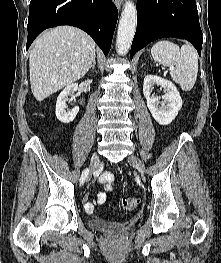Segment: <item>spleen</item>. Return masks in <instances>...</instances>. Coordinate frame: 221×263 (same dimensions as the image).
<instances>
[{
    "mask_svg": "<svg viewBox=\"0 0 221 263\" xmlns=\"http://www.w3.org/2000/svg\"><path fill=\"white\" fill-rule=\"evenodd\" d=\"M155 61L169 67L170 75L182 90L190 91L196 82L198 73V54L191 45L181 48L168 40L155 43L151 49Z\"/></svg>",
    "mask_w": 221,
    "mask_h": 263,
    "instance_id": "3e777b00",
    "label": "spleen"
}]
</instances>
